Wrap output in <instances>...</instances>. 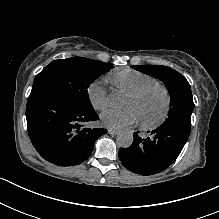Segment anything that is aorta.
<instances>
[{"label": "aorta", "instance_id": "aorta-1", "mask_svg": "<svg viewBox=\"0 0 219 219\" xmlns=\"http://www.w3.org/2000/svg\"><path fill=\"white\" fill-rule=\"evenodd\" d=\"M112 107H121L124 104V97L119 93H112L109 96ZM133 143V134L128 130H123L117 135V144L122 148H128Z\"/></svg>", "mask_w": 219, "mask_h": 219}]
</instances>
